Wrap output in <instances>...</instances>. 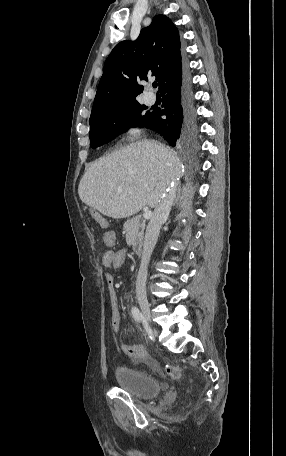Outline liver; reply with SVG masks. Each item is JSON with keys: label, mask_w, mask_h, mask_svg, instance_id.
Segmentation results:
<instances>
[{"label": "liver", "mask_w": 286, "mask_h": 456, "mask_svg": "<svg viewBox=\"0 0 286 456\" xmlns=\"http://www.w3.org/2000/svg\"><path fill=\"white\" fill-rule=\"evenodd\" d=\"M182 175L177 155L154 140H143L94 161L86 169L78 194L82 202L118 219L156 207L161 191L176 190Z\"/></svg>", "instance_id": "obj_1"}]
</instances>
